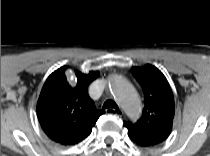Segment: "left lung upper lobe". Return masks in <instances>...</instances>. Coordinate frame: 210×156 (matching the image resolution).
I'll list each match as a JSON object with an SVG mask.
<instances>
[{"mask_svg": "<svg viewBox=\"0 0 210 156\" xmlns=\"http://www.w3.org/2000/svg\"><path fill=\"white\" fill-rule=\"evenodd\" d=\"M132 73L144 92L143 115L135 123H124L130 138L148 147L163 142L170 134L174 118V98L163 73L152 65L132 67Z\"/></svg>", "mask_w": 210, "mask_h": 156, "instance_id": "1", "label": "left lung upper lobe"}]
</instances>
